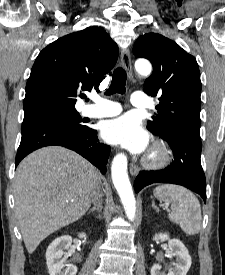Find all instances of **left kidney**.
<instances>
[{
	"mask_svg": "<svg viewBox=\"0 0 225 275\" xmlns=\"http://www.w3.org/2000/svg\"><path fill=\"white\" fill-rule=\"evenodd\" d=\"M153 240L168 241L170 253L176 257V263H173L174 268H171L167 274L161 271V265L154 264L151 268V275H186L192 260L184 244L178 239H170L166 233L155 234Z\"/></svg>",
	"mask_w": 225,
	"mask_h": 275,
	"instance_id": "left-kidney-1",
	"label": "left kidney"
}]
</instances>
